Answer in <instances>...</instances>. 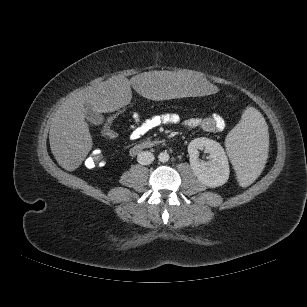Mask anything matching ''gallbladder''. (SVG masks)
<instances>
[{"label": "gallbladder", "instance_id": "bac80fb5", "mask_svg": "<svg viewBox=\"0 0 307 307\" xmlns=\"http://www.w3.org/2000/svg\"><path fill=\"white\" fill-rule=\"evenodd\" d=\"M85 117L90 123L95 125L102 124L103 122V116L100 113L92 110L91 108H88L86 110Z\"/></svg>", "mask_w": 307, "mask_h": 307}]
</instances>
